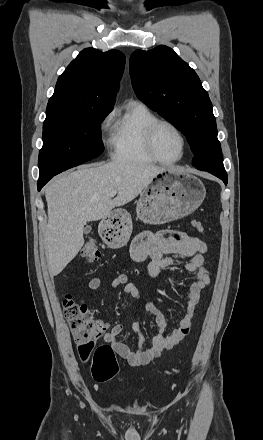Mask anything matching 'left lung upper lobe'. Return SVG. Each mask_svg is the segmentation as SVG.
<instances>
[{"label": "left lung upper lobe", "instance_id": "1", "mask_svg": "<svg viewBox=\"0 0 263 440\" xmlns=\"http://www.w3.org/2000/svg\"><path fill=\"white\" fill-rule=\"evenodd\" d=\"M129 67L137 97L187 137L193 166L226 172L212 103L195 71L164 45L136 50Z\"/></svg>", "mask_w": 263, "mask_h": 440}]
</instances>
